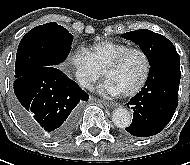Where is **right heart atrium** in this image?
I'll return each mask as SVG.
<instances>
[{
    "instance_id": "d8ad5b80",
    "label": "right heart atrium",
    "mask_w": 190,
    "mask_h": 165,
    "mask_svg": "<svg viewBox=\"0 0 190 165\" xmlns=\"http://www.w3.org/2000/svg\"><path fill=\"white\" fill-rule=\"evenodd\" d=\"M69 65L78 83L84 88H91L98 81L103 71L96 65L88 49L80 47L69 56Z\"/></svg>"
}]
</instances>
